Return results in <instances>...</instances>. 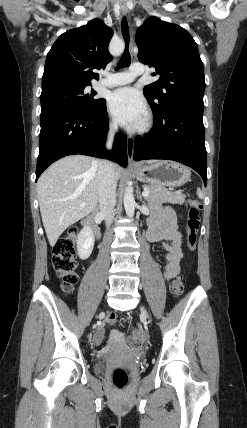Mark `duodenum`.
Instances as JSON below:
<instances>
[{
  "instance_id": "1",
  "label": "duodenum",
  "mask_w": 247,
  "mask_h": 428,
  "mask_svg": "<svg viewBox=\"0 0 247 428\" xmlns=\"http://www.w3.org/2000/svg\"><path fill=\"white\" fill-rule=\"evenodd\" d=\"M84 224L89 227L96 236H99V230L95 224V221L92 217H89L85 220Z\"/></svg>"
}]
</instances>
